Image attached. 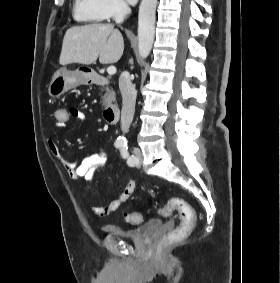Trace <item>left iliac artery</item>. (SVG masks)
<instances>
[{
    "mask_svg": "<svg viewBox=\"0 0 280 283\" xmlns=\"http://www.w3.org/2000/svg\"><path fill=\"white\" fill-rule=\"evenodd\" d=\"M120 153H121V156L124 158V159H127V163L130 165V166H133L136 164L137 162V159L134 155L130 156L129 155V152H128V147L127 145H123L121 148H120Z\"/></svg>",
    "mask_w": 280,
    "mask_h": 283,
    "instance_id": "1",
    "label": "left iliac artery"
}]
</instances>
